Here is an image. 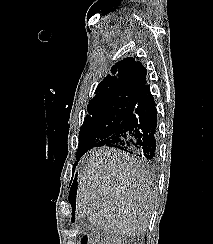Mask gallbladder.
I'll return each instance as SVG.
<instances>
[{
  "label": "gallbladder",
  "instance_id": "1",
  "mask_svg": "<svg viewBox=\"0 0 213 244\" xmlns=\"http://www.w3.org/2000/svg\"><path fill=\"white\" fill-rule=\"evenodd\" d=\"M77 225L82 233L92 235L96 231V227L88 221L87 217L79 218Z\"/></svg>",
  "mask_w": 213,
  "mask_h": 244
}]
</instances>
